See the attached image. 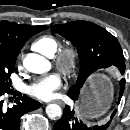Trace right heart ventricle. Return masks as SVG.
Returning <instances> with one entry per match:
<instances>
[{
    "label": "right heart ventricle",
    "instance_id": "right-heart-ventricle-1",
    "mask_svg": "<svg viewBox=\"0 0 130 130\" xmlns=\"http://www.w3.org/2000/svg\"><path fill=\"white\" fill-rule=\"evenodd\" d=\"M59 46V40L53 35H42L32 43L33 49L47 57H53Z\"/></svg>",
    "mask_w": 130,
    "mask_h": 130
}]
</instances>
